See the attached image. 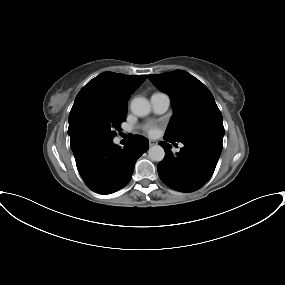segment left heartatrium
Listing matches in <instances>:
<instances>
[{
    "label": "left heart atrium",
    "instance_id": "1",
    "mask_svg": "<svg viewBox=\"0 0 285 285\" xmlns=\"http://www.w3.org/2000/svg\"><path fill=\"white\" fill-rule=\"evenodd\" d=\"M143 129L145 132H147L149 135H155L157 132V126L154 123H148L143 126Z\"/></svg>",
    "mask_w": 285,
    "mask_h": 285
}]
</instances>
